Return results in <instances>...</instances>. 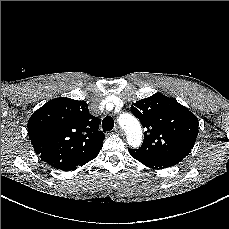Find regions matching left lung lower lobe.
<instances>
[{"label":"left lung lower lobe","instance_id":"0a47b994","mask_svg":"<svg viewBox=\"0 0 229 229\" xmlns=\"http://www.w3.org/2000/svg\"><path fill=\"white\" fill-rule=\"evenodd\" d=\"M130 155L133 158H135L136 160H138L139 162H141L143 165H145L147 167H150V168H153V169H164V168H167V167H172V166L177 164V163H174V162L149 161V160L137 158L136 156H134L131 153H130Z\"/></svg>","mask_w":229,"mask_h":229}]
</instances>
